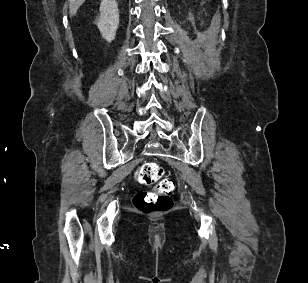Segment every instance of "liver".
Listing matches in <instances>:
<instances>
[{"instance_id":"1","label":"liver","mask_w":308,"mask_h":283,"mask_svg":"<svg viewBox=\"0 0 308 283\" xmlns=\"http://www.w3.org/2000/svg\"><path fill=\"white\" fill-rule=\"evenodd\" d=\"M86 0H70L69 2V12L70 16H74L79 9V7L85 2Z\"/></svg>"}]
</instances>
